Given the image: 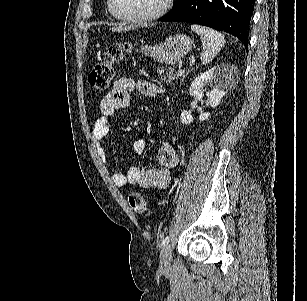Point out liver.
<instances>
[{
	"mask_svg": "<svg viewBox=\"0 0 307 301\" xmlns=\"http://www.w3.org/2000/svg\"><path fill=\"white\" fill-rule=\"evenodd\" d=\"M110 30L112 32H128V30H135L137 24H125V22H112Z\"/></svg>",
	"mask_w": 307,
	"mask_h": 301,
	"instance_id": "obj_1",
	"label": "liver"
}]
</instances>
